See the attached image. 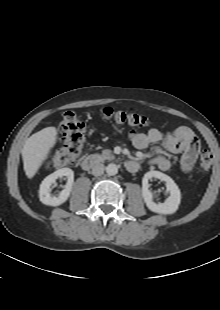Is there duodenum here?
<instances>
[{
    "mask_svg": "<svg viewBox=\"0 0 220 310\" xmlns=\"http://www.w3.org/2000/svg\"><path fill=\"white\" fill-rule=\"evenodd\" d=\"M101 159L95 155H89L82 159L81 167L85 171L94 169L100 164ZM139 164L134 160H128L126 162V168L130 172H135L138 170Z\"/></svg>",
    "mask_w": 220,
    "mask_h": 310,
    "instance_id": "obj_1",
    "label": "duodenum"
}]
</instances>
